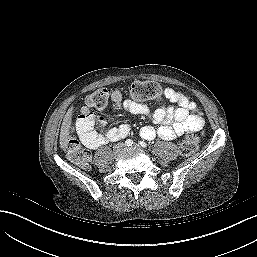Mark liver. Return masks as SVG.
Masks as SVG:
<instances>
[{
  "instance_id": "liver-1",
  "label": "liver",
  "mask_w": 257,
  "mask_h": 257,
  "mask_svg": "<svg viewBox=\"0 0 257 257\" xmlns=\"http://www.w3.org/2000/svg\"><path fill=\"white\" fill-rule=\"evenodd\" d=\"M72 113H73V106H71L66 115L64 116L62 125H61V131H60V147L65 150L68 146L69 141V130L71 127V121H72Z\"/></svg>"
}]
</instances>
